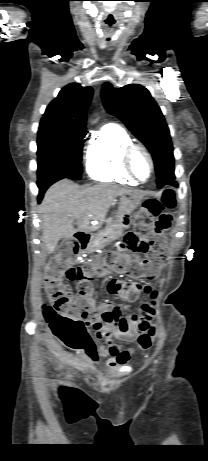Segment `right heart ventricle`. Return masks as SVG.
<instances>
[{
    "label": "right heart ventricle",
    "mask_w": 208,
    "mask_h": 461,
    "mask_svg": "<svg viewBox=\"0 0 208 461\" xmlns=\"http://www.w3.org/2000/svg\"><path fill=\"white\" fill-rule=\"evenodd\" d=\"M133 143L127 131L117 124L105 125L92 141L86 154L88 175L100 182L134 184L123 166V153Z\"/></svg>",
    "instance_id": "right-heart-ventricle-1"
}]
</instances>
